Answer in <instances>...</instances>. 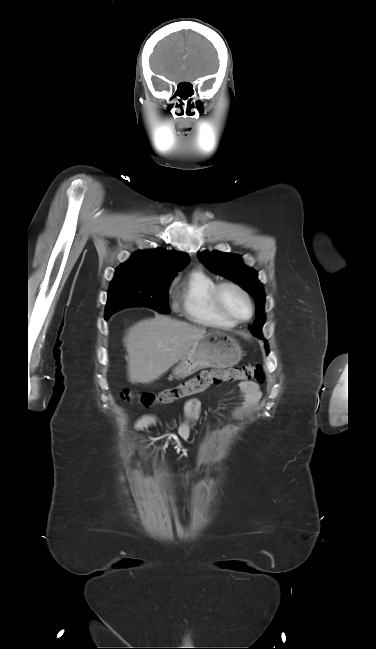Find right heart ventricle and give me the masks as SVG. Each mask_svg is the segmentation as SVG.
<instances>
[{
	"label": "right heart ventricle",
	"instance_id": "1",
	"mask_svg": "<svg viewBox=\"0 0 376 649\" xmlns=\"http://www.w3.org/2000/svg\"><path fill=\"white\" fill-rule=\"evenodd\" d=\"M217 281L201 268L179 278L175 284L176 308L192 322L216 328L229 329L235 323L218 309L213 290Z\"/></svg>",
	"mask_w": 376,
	"mask_h": 649
}]
</instances>
